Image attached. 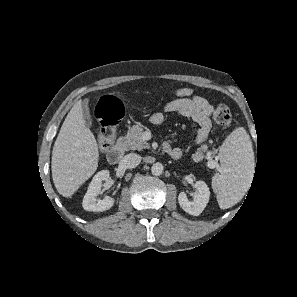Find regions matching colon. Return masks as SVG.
I'll list each match as a JSON object with an SVG mask.
<instances>
[{"label": "colon", "mask_w": 297, "mask_h": 297, "mask_svg": "<svg viewBox=\"0 0 297 297\" xmlns=\"http://www.w3.org/2000/svg\"><path fill=\"white\" fill-rule=\"evenodd\" d=\"M193 89L184 87L176 90L178 98H190ZM95 117L100 132V150L107 151L111 146V133L114 127L123 117V106L121 101L114 95H105L98 101L95 108ZM213 121L218 125H228L232 119L230 107L226 104L218 105L213 114Z\"/></svg>", "instance_id": "colon-1"}]
</instances>
